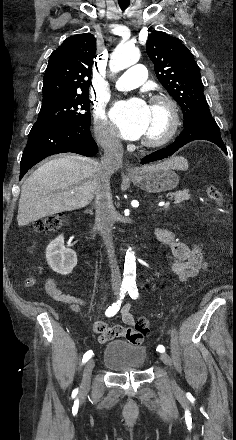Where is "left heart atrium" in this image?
<instances>
[{
	"mask_svg": "<svg viewBox=\"0 0 236 440\" xmlns=\"http://www.w3.org/2000/svg\"><path fill=\"white\" fill-rule=\"evenodd\" d=\"M150 119V107L141 98L118 102L112 110V120L124 139L135 140L142 137Z\"/></svg>",
	"mask_w": 236,
	"mask_h": 440,
	"instance_id": "obj_1",
	"label": "left heart atrium"
}]
</instances>
